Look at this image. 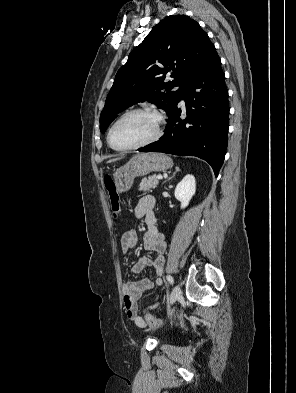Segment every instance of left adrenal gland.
<instances>
[{
    "instance_id": "1",
    "label": "left adrenal gland",
    "mask_w": 296,
    "mask_h": 393,
    "mask_svg": "<svg viewBox=\"0 0 296 393\" xmlns=\"http://www.w3.org/2000/svg\"><path fill=\"white\" fill-rule=\"evenodd\" d=\"M180 169L178 167L175 168V172L173 173V175L171 177L168 178V180L172 179L173 177H175L176 173L179 172ZM165 183V182H164Z\"/></svg>"
}]
</instances>
